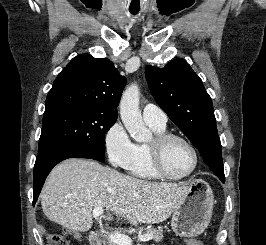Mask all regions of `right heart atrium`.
<instances>
[{
  "label": "right heart atrium",
  "mask_w": 266,
  "mask_h": 245,
  "mask_svg": "<svg viewBox=\"0 0 266 245\" xmlns=\"http://www.w3.org/2000/svg\"><path fill=\"white\" fill-rule=\"evenodd\" d=\"M104 150L111 166L129 171L134 163L135 144L120 121L114 122L104 133Z\"/></svg>",
  "instance_id": "right-heart-atrium-1"
}]
</instances>
